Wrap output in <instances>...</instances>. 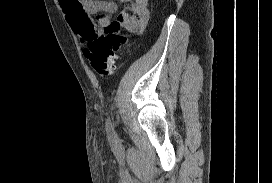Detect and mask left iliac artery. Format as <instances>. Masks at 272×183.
I'll use <instances>...</instances> for the list:
<instances>
[{"label": "left iliac artery", "instance_id": "left-iliac-artery-1", "mask_svg": "<svg viewBox=\"0 0 272 183\" xmlns=\"http://www.w3.org/2000/svg\"><path fill=\"white\" fill-rule=\"evenodd\" d=\"M106 127H107L108 133H109L112 137L116 138V133H115V130H114V126H113V124H112V122H111V120H110L109 117H108L107 120H106Z\"/></svg>", "mask_w": 272, "mask_h": 183}]
</instances>
